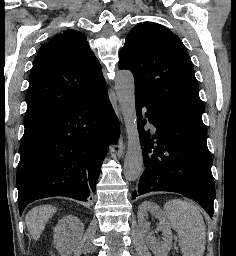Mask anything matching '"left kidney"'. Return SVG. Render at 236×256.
<instances>
[{"label": "left kidney", "mask_w": 236, "mask_h": 256, "mask_svg": "<svg viewBox=\"0 0 236 256\" xmlns=\"http://www.w3.org/2000/svg\"><path fill=\"white\" fill-rule=\"evenodd\" d=\"M147 212H151V214H154L155 218H159L158 230L163 232V242L152 238L149 232L150 224L145 220ZM137 220L139 228L146 240V244L149 246L154 256H167L172 246V232L166 214L162 212L157 204H153V202H142L141 206L138 208Z\"/></svg>", "instance_id": "1"}]
</instances>
